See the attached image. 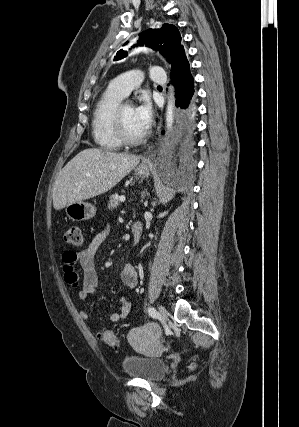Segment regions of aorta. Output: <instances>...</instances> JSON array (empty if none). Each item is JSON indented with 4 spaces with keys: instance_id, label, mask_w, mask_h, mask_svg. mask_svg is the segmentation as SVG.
<instances>
[{
    "instance_id": "1",
    "label": "aorta",
    "mask_w": 299,
    "mask_h": 427,
    "mask_svg": "<svg viewBox=\"0 0 299 427\" xmlns=\"http://www.w3.org/2000/svg\"><path fill=\"white\" fill-rule=\"evenodd\" d=\"M173 109H174V90H173V87L171 86L169 90V100H168L167 111H166V128L168 131L172 129L173 122H174Z\"/></svg>"
}]
</instances>
